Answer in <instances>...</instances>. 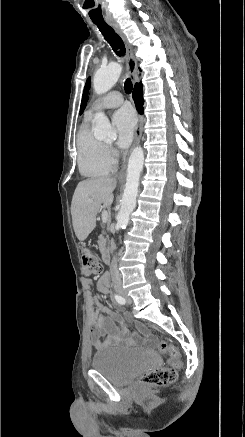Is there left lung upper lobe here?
<instances>
[{
  "label": "left lung upper lobe",
  "mask_w": 245,
  "mask_h": 437,
  "mask_svg": "<svg viewBox=\"0 0 245 437\" xmlns=\"http://www.w3.org/2000/svg\"><path fill=\"white\" fill-rule=\"evenodd\" d=\"M91 82H90V77L87 79V81H86V84H85V87H84V92H83V96H82V101H81V107H80V114H82L83 113V111H84V109H85V107H86V104H87V101H88V94H89V89H90V86H91V84H90Z\"/></svg>",
  "instance_id": "obj_1"
}]
</instances>
